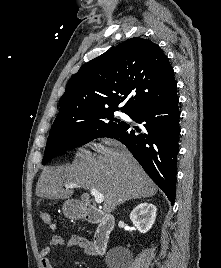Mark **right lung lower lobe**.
I'll return each instance as SVG.
<instances>
[{"mask_svg": "<svg viewBox=\"0 0 221 268\" xmlns=\"http://www.w3.org/2000/svg\"><path fill=\"white\" fill-rule=\"evenodd\" d=\"M130 118L142 127L125 123L107 137L122 142L174 204L180 134L178 96L145 106Z\"/></svg>", "mask_w": 221, "mask_h": 268, "instance_id": "obj_1", "label": "right lung lower lobe"}]
</instances>
